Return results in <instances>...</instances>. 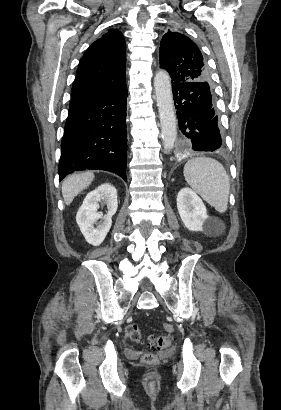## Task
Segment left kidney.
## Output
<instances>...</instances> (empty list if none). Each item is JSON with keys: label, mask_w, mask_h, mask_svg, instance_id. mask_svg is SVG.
Returning a JSON list of instances; mask_svg holds the SVG:
<instances>
[{"label": "left kidney", "mask_w": 281, "mask_h": 410, "mask_svg": "<svg viewBox=\"0 0 281 410\" xmlns=\"http://www.w3.org/2000/svg\"><path fill=\"white\" fill-rule=\"evenodd\" d=\"M177 209L185 227L201 231L208 215L202 199L190 188H182L177 195Z\"/></svg>", "instance_id": "1"}]
</instances>
